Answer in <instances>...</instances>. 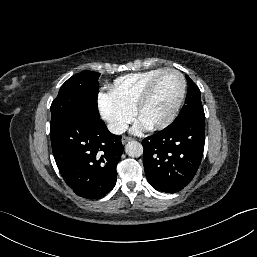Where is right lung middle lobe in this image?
Masks as SVG:
<instances>
[{
	"mask_svg": "<svg viewBox=\"0 0 257 257\" xmlns=\"http://www.w3.org/2000/svg\"><path fill=\"white\" fill-rule=\"evenodd\" d=\"M100 73L85 71L69 78L51 104L50 129L66 119L82 116L99 119L97 97Z\"/></svg>",
	"mask_w": 257,
	"mask_h": 257,
	"instance_id": "dd1d6c3e",
	"label": "right lung middle lobe"
}]
</instances>
